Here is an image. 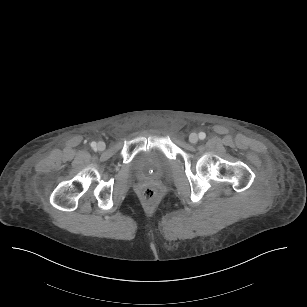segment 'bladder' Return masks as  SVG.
I'll list each match as a JSON object with an SVG mask.
<instances>
[{
  "label": "bladder",
  "instance_id": "bladder-1",
  "mask_svg": "<svg viewBox=\"0 0 307 307\" xmlns=\"http://www.w3.org/2000/svg\"><path fill=\"white\" fill-rule=\"evenodd\" d=\"M169 166L170 160L156 149L141 152L134 159V167L141 173L153 171L157 174H163Z\"/></svg>",
  "mask_w": 307,
  "mask_h": 307
}]
</instances>
